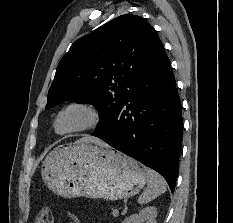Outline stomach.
<instances>
[{"mask_svg": "<svg viewBox=\"0 0 233 223\" xmlns=\"http://www.w3.org/2000/svg\"><path fill=\"white\" fill-rule=\"evenodd\" d=\"M147 167L93 141L57 145L42 161V179L62 197L127 199L143 189Z\"/></svg>", "mask_w": 233, "mask_h": 223, "instance_id": "0dacf381", "label": "stomach"}]
</instances>
